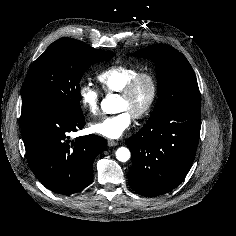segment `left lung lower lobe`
<instances>
[{
  "label": "left lung lower lobe",
  "instance_id": "1",
  "mask_svg": "<svg viewBox=\"0 0 236 236\" xmlns=\"http://www.w3.org/2000/svg\"><path fill=\"white\" fill-rule=\"evenodd\" d=\"M201 109H179L146 123L126 140L133 160L128 182L154 197L175 189L190 170L199 141Z\"/></svg>",
  "mask_w": 236,
  "mask_h": 236
}]
</instances>
